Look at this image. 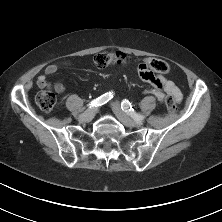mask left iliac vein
Segmentation results:
<instances>
[{
	"label": "left iliac vein",
	"instance_id": "obj_1",
	"mask_svg": "<svg viewBox=\"0 0 222 222\" xmlns=\"http://www.w3.org/2000/svg\"><path fill=\"white\" fill-rule=\"evenodd\" d=\"M112 110L117 116V118L127 127H139L142 125V121H135L131 119L120 107V104L118 102H113L111 104Z\"/></svg>",
	"mask_w": 222,
	"mask_h": 222
}]
</instances>
